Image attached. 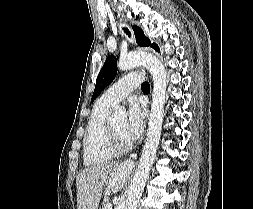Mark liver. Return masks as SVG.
Wrapping results in <instances>:
<instances>
[{
    "instance_id": "1",
    "label": "liver",
    "mask_w": 253,
    "mask_h": 209,
    "mask_svg": "<svg viewBox=\"0 0 253 209\" xmlns=\"http://www.w3.org/2000/svg\"><path fill=\"white\" fill-rule=\"evenodd\" d=\"M129 171L118 162L102 163L91 166L76 178L77 208L98 209L105 184L113 191L123 188Z\"/></svg>"
}]
</instances>
